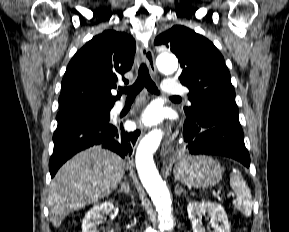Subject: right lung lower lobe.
Returning <instances> with one entry per match:
<instances>
[{
    "mask_svg": "<svg viewBox=\"0 0 289 232\" xmlns=\"http://www.w3.org/2000/svg\"><path fill=\"white\" fill-rule=\"evenodd\" d=\"M109 120H73L58 122L53 135L54 150L49 169L54 177L59 167L77 152L93 145H101L121 157L130 156L139 132H125L122 124Z\"/></svg>",
    "mask_w": 289,
    "mask_h": 232,
    "instance_id": "98d812e1",
    "label": "right lung lower lobe"
}]
</instances>
